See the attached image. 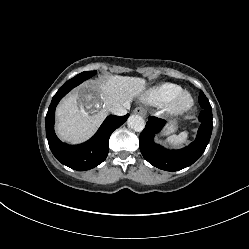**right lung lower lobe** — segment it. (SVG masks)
Returning a JSON list of instances; mask_svg holds the SVG:
<instances>
[{
	"label": "right lung lower lobe",
	"mask_w": 249,
	"mask_h": 249,
	"mask_svg": "<svg viewBox=\"0 0 249 249\" xmlns=\"http://www.w3.org/2000/svg\"><path fill=\"white\" fill-rule=\"evenodd\" d=\"M84 80V78L74 77L67 81L53 96L46 115V136L53 155L62 164L78 171L92 169L106 159L110 135L129 116V114L125 116H108L96 134L83 144L72 146L62 143L54 132L55 108L62 97Z\"/></svg>",
	"instance_id": "98d812e1"
}]
</instances>
